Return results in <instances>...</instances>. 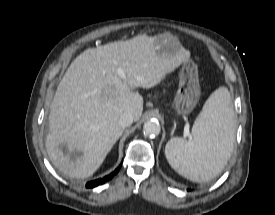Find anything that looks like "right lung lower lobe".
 Segmentation results:
<instances>
[{
  "instance_id": "98d812e1",
  "label": "right lung lower lobe",
  "mask_w": 275,
  "mask_h": 215,
  "mask_svg": "<svg viewBox=\"0 0 275 215\" xmlns=\"http://www.w3.org/2000/svg\"><path fill=\"white\" fill-rule=\"evenodd\" d=\"M120 167H121V165H120L113 173H111V174L108 175V176H105L104 178H100V179H97V180L88 182V183L86 184V187H88V188H93V187H96V186H98V185H100V184L105 183L106 181H109L114 175L117 174V172L119 171Z\"/></svg>"
}]
</instances>
